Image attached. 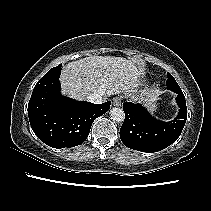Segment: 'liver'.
<instances>
[{
  "label": "liver",
  "instance_id": "6515ba94",
  "mask_svg": "<svg viewBox=\"0 0 211 211\" xmlns=\"http://www.w3.org/2000/svg\"><path fill=\"white\" fill-rule=\"evenodd\" d=\"M140 70L130 60L115 56H90L66 64L60 76L61 93L83 100L91 94L104 98L113 93L131 96L140 86ZM159 91L147 92L141 101L154 102ZM136 100L135 96L131 97Z\"/></svg>",
  "mask_w": 211,
  "mask_h": 211
}]
</instances>
